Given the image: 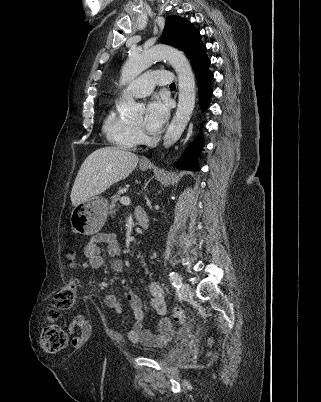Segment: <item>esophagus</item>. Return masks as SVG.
<instances>
[{
	"label": "esophagus",
	"mask_w": 321,
	"mask_h": 402,
	"mask_svg": "<svg viewBox=\"0 0 321 402\" xmlns=\"http://www.w3.org/2000/svg\"><path fill=\"white\" fill-rule=\"evenodd\" d=\"M141 162H142L143 164H150V160H149L148 158H143V159L141 160Z\"/></svg>",
	"instance_id": "obj_1"
}]
</instances>
